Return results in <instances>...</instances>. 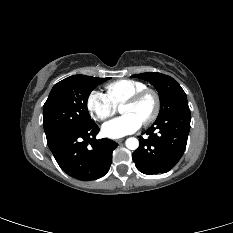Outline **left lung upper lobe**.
Segmentation results:
<instances>
[{"instance_id": "obj_1", "label": "left lung upper lobe", "mask_w": 233, "mask_h": 233, "mask_svg": "<svg viewBox=\"0 0 233 233\" xmlns=\"http://www.w3.org/2000/svg\"><path fill=\"white\" fill-rule=\"evenodd\" d=\"M132 77L144 79L157 89L160 97V112L158 118L163 117L165 114L181 106L188 105L184 90L170 76L157 72H146L133 75Z\"/></svg>"}]
</instances>
